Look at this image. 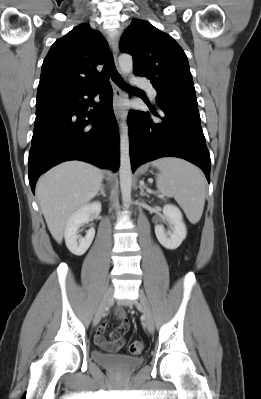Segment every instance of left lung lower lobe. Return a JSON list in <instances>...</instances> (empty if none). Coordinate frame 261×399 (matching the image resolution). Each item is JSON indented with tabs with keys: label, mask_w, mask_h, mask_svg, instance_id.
<instances>
[{
	"label": "left lung lower lobe",
	"mask_w": 261,
	"mask_h": 399,
	"mask_svg": "<svg viewBox=\"0 0 261 399\" xmlns=\"http://www.w3.org/2000/svg\"><path fill=\"white\" fill-rule=\"evenodd\" d=\"M164 116L131 110L128 115L131 167L173 156L198 165L210 183V154L200 124L197 102L170 100L157 103Z\"/></svg>",
	"instance_id": "0a47b994"
}]
</instances>
